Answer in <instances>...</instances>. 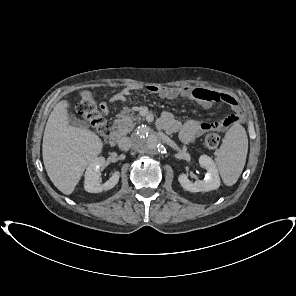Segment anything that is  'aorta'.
I'll return each mask as SVG.
<instances>
[{
    "instance_id": "1",
    "label": "aorta",
    "mask_w": 296,
    "mask_h": 296,
    "mask_svg": "<svg viewBox=\"0 0 296 296\" xmlns=\"http://www.w3.org/2000/svg\"><path fill=\"white\" fill-rule=\"evenodd\" d=\"M133 148L145 155L156 154L161 149L158 136L147 126L138 128L132 136Z\"/></svg>"
}]
</instances>
